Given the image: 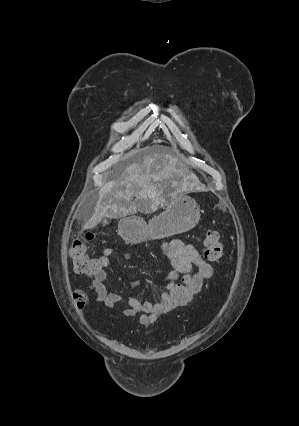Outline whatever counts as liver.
Listing matches in <instances>:
<instances>
[{"instance_id":"1","label":"liver","mask_w":299,"mask_h":426,"mask_svg":"<svg viewBox=\"0 0 299 426\" xmlns=\"http://www.w3.org/2000/svg\"><path fill=\"white\" fill-rule=\"evenodd\" d=\"M184 172V164L167 147H152L141 163H132L117 179L100 188L94 213L83 229L96 227L104 217H124L138 210L156 211L166 202L164 184L174 183L172 178L184 176Z\"/></svg>"}]
</instances>
